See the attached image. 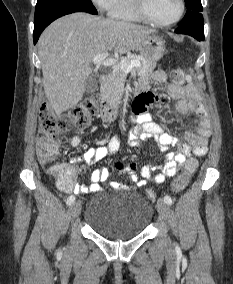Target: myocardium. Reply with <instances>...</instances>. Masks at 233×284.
<instances>
[{
  "mask_svg": "<svg viewBox=\"0 0 233 284\" xmlns=\"http://www.w3.org/2000/svg\"><path fill=\"white\" fill-rule=\"evenodd\" d=\"M179 2V12L178 15L171 21L168 22H160L156 20L149 12L148 7H147V0H135V6L138 11V13L141 15V17L156 26L159 27H168L176 24L178 21L181 20V18L184 15L185 12V2L184 0H178Z\"/></svg>",
  "mask_w": 233,
  "mask_h": 284,
  "instance_id": "1",
  "label": "myocardium"
}]
</instances>
